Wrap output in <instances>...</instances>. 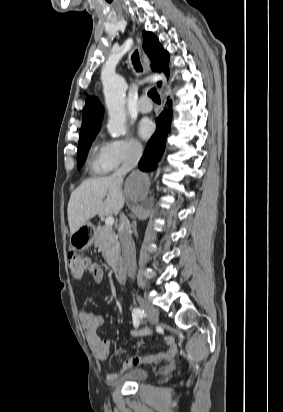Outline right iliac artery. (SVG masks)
<instances>
[{
	"label": "right iliac artery",
	"instance_id": "obj_1",
	"mask_svg": "<svg viewBox=\"0 0 283 412\" xmlns=\"http://www.w3.org/2000/svg\"><path fill=\"white\" fill-rule=\"evenodd\" d=\"M132 316H133L134 327L137 328L139 326V319H142L146 315L144 313V310H141L139 308H134Z\"/></svg>",
	"mask_w": 283,
	"mask_h": 412
}]
</instances>
